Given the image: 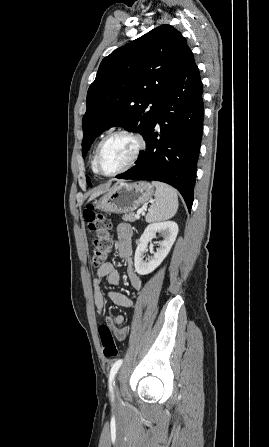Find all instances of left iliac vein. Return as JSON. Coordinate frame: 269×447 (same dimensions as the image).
I'll return each instance as SVG.
<instances>
[{
    "label": "left iliac vein",
    "mask_w": 269,
    "mask_h": 447,
    "mask_svg": "<svg viewBox=\"0 0 269 447\" xmlns=\"http://www.w3.org/2000/svg\"><path fill=\"white\" fill-rule=\"evenodd\" d=\"M114 393H115V401L118 402L120 399V395L118 392V389L116 388V386H114Z\"/></svg>",
    "instance_id": "4c4485c4"
}]
</instances>
